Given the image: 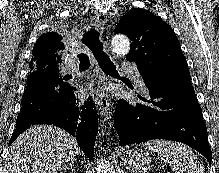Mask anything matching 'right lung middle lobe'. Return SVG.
<instances>
[{
	"label": "right lung middle lobe",
	"instance_id": "right-lung-middle-lobe-1",
	"mask_svg": "<svg viewBox=\"0 0 219 173\" xmlns=\"http://www.w3.org/2000/svg\"><path fill=\"white\" fill-rule=\"evenodd\" d=\"M30 68H31L30 73L37 71H49L61 76L59 71V64L57 63H50V64L37 66V67H30Z\"/></svg>",
	"mask_w": 219,
	"mask_h": 173
}]
</instances>
